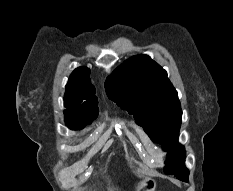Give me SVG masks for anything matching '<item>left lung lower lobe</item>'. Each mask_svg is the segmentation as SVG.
<instances>
[{"mask_svg": "<svg viewBox=\"0 0 233 191\" xmlns=\"http://www.w3.org/2000/svg\"><path fill=\"white\" fill-rule=\"evenodd\" d=\"M188 176L189 175H185V176H179V177H177L179 180H182V181H184V182H187L188 181Z\"/></svg>", "mask_w": 233, "mask_h": 191, "instance_id": "obj_1", "label": "left lung lower lobe"}]
</instances>
